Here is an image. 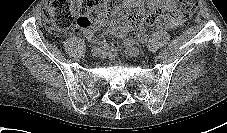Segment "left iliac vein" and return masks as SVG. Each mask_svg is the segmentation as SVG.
<instances>
[{
	"label": "left iliac vein",
	"instance_id": "4c4485c4",
	"mask_svg": "<svg viewBox=\"0 0 227 133\" xmlns=\"http://www.w3.org/2000/svg\"><path fill=\"white\" fill-rule=\"evenodd\" d=\"M125 51L132 57H138L141 54L140 50L137 47L128 44L125 45Z\"/></svg>",
	"mask_w": 227,
	"mask_h": 133
}]
</instances>
